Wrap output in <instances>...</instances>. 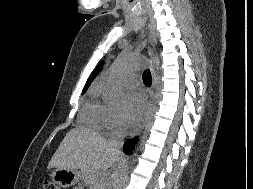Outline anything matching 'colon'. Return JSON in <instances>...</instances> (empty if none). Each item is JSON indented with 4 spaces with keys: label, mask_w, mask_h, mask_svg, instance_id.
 <instances>
[{
    "label": "colon",
    "mask_w": 253,
    "mask_h": 189,
    "mask_svg": "<svg viewBox=\"0 0 253 189\" xmlns=\"http://www.w3.org/2000/svg\"><path fill=\"white\" fill-rule=\"evenodd\" d=\"M43 189H60V188L53 181L47 180L43 184Z\"/></svg>",
    "instance_id": "colon-1"
}]
</instances>
